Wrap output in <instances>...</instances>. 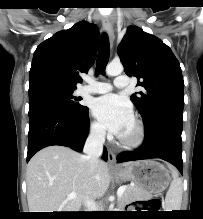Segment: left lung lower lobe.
I'll return each instance as SVG.
<instances>
[{"mask_svg":"<svg viewBox=\"0 0 203 219\" xmlns=\"http://www.w3.org/2000/svg\"><path fill=\"white\" fill-rule=\"evenodd\" d=\"M182 126L183 111L162 112L145 124V139L134 152L117 156L118 162L161 158L173 164L182 174Z\"/></svg>","mask_w":203,"mask_h":219,"instance_id":"left-lung-lower-lobe-1","label":"left lung lower lobe"}]
</instances>
